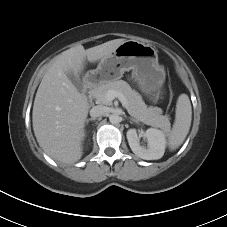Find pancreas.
I'll return each mask as SVG.
<instances>
[{"instance_id":"obj_1","label":"pancreas","mask_w":227,"mask_h":227,"mask_svg":"<svg viewBox=\"0 0 227 227\" xmlns=\"http://www.w3.org/2000/svg\"><path fill=\"white\" fill-rule=\"evenodd\" d=\"M109 90H115L125 96L127 100L126 109L131 116L147 125L161 128L166 132L169 131L170 121L168 116L161 115L162 110L158 107H147L141 95L124 80L103 83L93 89L92 95L99 104L109 105L111 102L105 98Z\"/></svg>"}]
</instances>
